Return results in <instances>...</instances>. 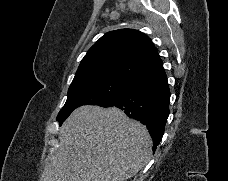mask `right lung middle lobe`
Segmentation results:
<instances>
[{
  "instance_id": "dd1d6c3e",
  "label": "right lung middle lobe",
  "mask_w": 228,
  "mask_h": 181,
  "mask_svg": "<svg viewBox=\"0 0 228 181\" xmlns=\"http://www.w3.org/2000/svg\"><path fill=\"white\" fill-rule=\"evenodd\" d=\"M131 79L95 75L73 80L68 90V98L60 110L57 121L60 125L67 119L73 110L81 105H99L116 96Z\"/></svg>"
}]
</instances>
